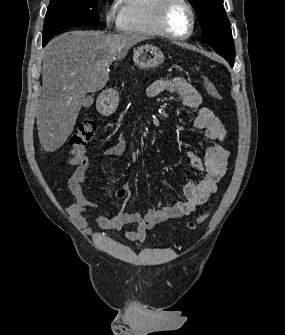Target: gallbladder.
Wrapping results in <instances>:
<instances>
[{"mask_svg":"<svg viewBox=\"0 0 285 335\" xmlns=\"http://www.w3.org/2000/svg\"><path fill=\"white\" fill-rule=\"evenodd\" d=\"M94 100L92 98V96H87V98H85L84 102H82V106L83 108H90V106H92Z\"/></svg>","mask_w":285,"mask_h":335,"instance_id":"obj_1","label":"gallbladder"}]
</instances>
